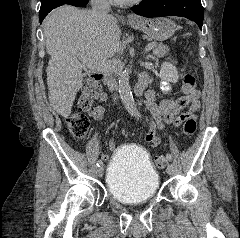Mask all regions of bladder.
<instances>
[{
	"label": "bladder",
	"instance_id": "31cf9c89",
	"mask_svg": "<svg viewBox=\"0 0 240 238\" xmlns=\"http://www.w3.org/2000/svg\"><path fill=\"white\" fill-rule=\"evenodd\" d=\"M159 182L145 150L127 145L115 151L106 176L107 191L113 199L124 204L147 202L156 195Z\"/></svg>",
	"mask_w": 240,
	"mask_h": 238
}]
</instances>
